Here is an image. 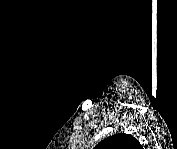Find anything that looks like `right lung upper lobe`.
Returning <instances> with one entry per match:
<instances>
[{"label": "right lung upper lobe", "instance_id": "obj_1", "mask_svg": "<svg viewBox=\"0 0 177 149\" xmlns=\"http://www.w3.org/2000/svg\"><path fill=\"white\" fill-rule=\"evenodd\" d=\"M140 143L129 134H115L101 141L96 149H138Z\"/></svg>", "mask_w": 177, "mask_h": 149}]
</instances>
